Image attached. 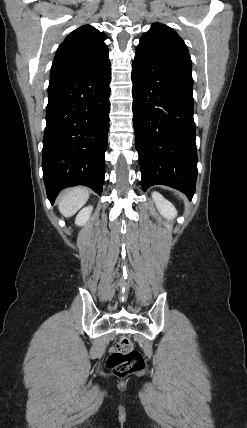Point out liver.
Listing matches in <instances>:
<instances>
[{"mask_svg":"<svg viewBox=\"0 0 247 428\" xmlns=\"http://www.w3.org/2000/svg\"><path fill=\"white\" fill-rule=\"evenodd\" d=\"M89 198L88 192L85 188L75 187L63 192L58 209L65 217L73 216Z\"/></svg>","mask_w":247,"mask_h":428,"instance_id":"liver-1","label":"liver"}]
</instances>
